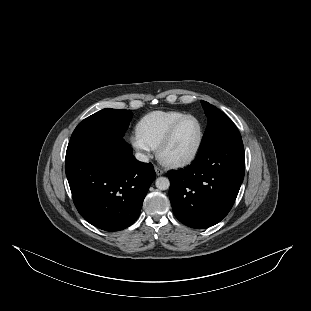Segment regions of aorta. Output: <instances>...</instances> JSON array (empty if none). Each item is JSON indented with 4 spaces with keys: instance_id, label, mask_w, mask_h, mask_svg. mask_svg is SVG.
<instances>
[{
    "instance_id": "762f6f07",
    "label": "aorta",
    "mask_w": 311,
    "mask_h": 311,
    "mask_svg": "<svg viewBox=\"0 0 311 311\" xmlns=\"http://www.w3.org/2000/svg\"><path fill=\"white\" fill-rule=\"evenodd\" d=\"M155 185L160 190H167L170 187V180L167 177H158L155 181Z\"/></svg>"
}]
</instances>
